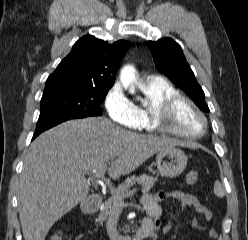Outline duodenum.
Wrapping results in <instances>:
<instances>
[{"label": "duodenum", "mask_w": 248, "mask_h": 240, "mask_svg": "<svg viewBox=\"0 0 248 240\" xmlns=\"http://www.w3.org/2000/svg\"><path fill=\"white\" fill-rule=\"evenodd\" d=\"M101 204V197L94 193L90 198L86 199L82 204V211L86 214L95 213ZM151 226L148 222H143L139 230L132 237H126L124 240H146L149 239Z\"/></svg>", "instance_id": "1"}]
</instances>
